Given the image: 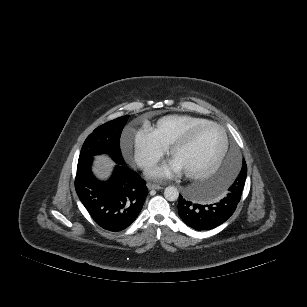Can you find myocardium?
Wrapping results in <instances>:
<instances>
[{
    "mask_svg": "<svg viewBox=\"0 0 307 307\" xmlns=\"http://www.w3.org/2000/svg\"><path fill=\"white\" fill-rule=\"evenodd\" d=\"M209 126H213L216 127L217 129H219V131L221 132L222 138H223V144H222V148L218 154V156L216 157L215 161L212 163V165L204 170L201 171H196V172H185V175L188 178L191 179H201V178H206L208 176H210L211 174H213L220 166V164L222 163L228 148H229V136L225 130V128L214 121H207L204 122L202 124L196 125L194 127H192L188 132H186L183 136H181L179 139H177L170 147V155L173 157V155L181 148L187 146L194 138L195 136L198 134V132H200L202 129L209 127Z\"/></svg>",
    "mask_w": 307,
    "mask_h": 307,
    "instance_id": "myocardium-1",
    "label": "myocardium"
}]
</instances>
